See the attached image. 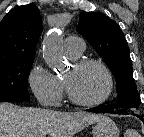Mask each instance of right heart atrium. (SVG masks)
I'll list each match as a JSON object with an SVG mask.
<instances>
[{"instance_id": "right-heart-atrium-1", "label": "right heart atrium", "mask_w": 144, "mask_h": 137, "mask_svg": "<svg viewBox=\"0 0 144 137\" xmlns=\"http://www.w3.org/2000/svg\"><path fill=\"white\" fill-rule=\"evenodd\" d=\"M27 83L36 100L45 107H57L64 96L62 81L43 64L35 62L28 74Z\"/></svg>"}]
</instances>
